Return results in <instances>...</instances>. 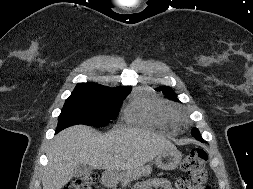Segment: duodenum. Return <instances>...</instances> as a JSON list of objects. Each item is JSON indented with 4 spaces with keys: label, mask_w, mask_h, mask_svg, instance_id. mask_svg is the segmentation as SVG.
<instances>
[{
    "label": "duodenum",
    "mask_w": 253,
    "mask_h": 189,
    "mask_svg": "<svg viewBox=\"0 0 253 189\" xmlns=\"http://www.w3.org/2000/svg\"><path fill=\"white\" fill-rule=\"evenodd\" d=\"M114 182V174L111 171H106L103 174V184L107 187H110L113 185Z\"/></svg>",
    "instance_id": "1"
}]
</instances>
